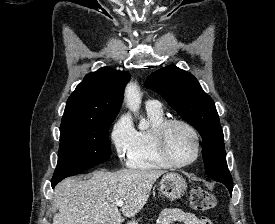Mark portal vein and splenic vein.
I'll use <instances>...</instances> for the list:
<instances>
[{"label":"portal vein and splenic vein","instance_id":"portal-vein-and-splenic-vein-1","mask_svg":"<svg viewBox=\"0 0 275 224\" xmlns=\"http://www.w3.org/2000/svg\"><path fill=\"white\" fill-rule=\"evenodd\" d=\"M124 205V201L123 200H120L117 202V206L118 207H122Z\"/></svg>","mask_w":275,"mask_h":224}]
</instances>
